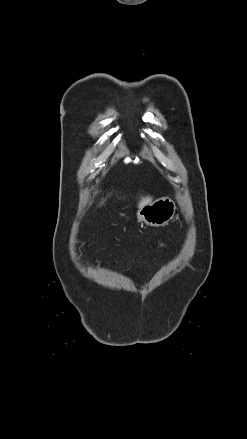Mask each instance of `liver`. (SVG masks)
I'll list each match as a JSON object with an SVG mask.
<instances>
[{
	"instance_id": "6515ba94",
	"label": "liver",
	"mask_w": 247,
	"mask_h": 439,
	"mask_svg": "<svg viewBox=\"0 0 247 439\" xmlns=\"http://www.w3.org/2000/svg\"><path fill=\"white\" fill-rule=\"evenodd\" d=\"M151 201H152V197H150V196L142 197L138 203V207L140 208V207L150 203Z\"/></svg>"
}]
</instances>
